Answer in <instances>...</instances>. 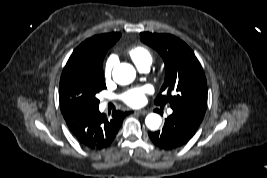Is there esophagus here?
Wrapping results in <instances>:
<instances>
[{
  "mask_svg": "<svg viewBox=\"0 0 267 178\" xmlns=\"http://www.w3.org/2000/svg\"><path fill=\"white\" fill-rule=\"evenodd\" d=\"M135 113H138V114H141V115H145L148 112L146 110H138V111H135Z\"/></svg>",
  "mask_w": 267,
  "mask_h": 178,
  "instance_id": "1",
  "label": "esophagus"
}]
</instances>
